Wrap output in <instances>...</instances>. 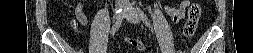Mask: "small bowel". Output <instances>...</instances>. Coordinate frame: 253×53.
I'll return each mask as SVG.
<instances>
[{"mask_svg":"<svg viewBox=\"0 0 253 53\" xmlns=\"http://www.w3.org/2000/svg\"><path fill=\"white\" fill-rule=\"evenodd\" d=\"M189 3H190V1L184 0L181 2L179 7H166V11L172 17V19L175 22H177L178 20H180L184 16L185 10H186L187 6L189 5ZM76 15H77V19H78L79 23L82 26H86L87 18L84 15V13L82 12L81 5L77 6Z\"/></svg>","mask_w":253,"mask_h":53,"instance_id":"small-bowel-1","label":"small bowel"}]
</instances>
